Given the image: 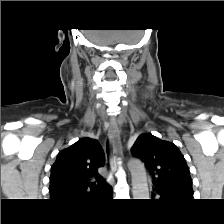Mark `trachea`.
<instances>
[{"label": "trachea", "mask_w": 224, "mask_h": 224, "mask_svg": "<svg viewBox=\"0 0 224 224\" xmlns=\"http://www.w3.org/2000/svg\"><path fill=\"white\" fill-rule=\"evenodd\" d=\"M107 151H108V154H109V148L107 147Z\"/></svg>", "instance_id": "3493384b"}]
</instances>
